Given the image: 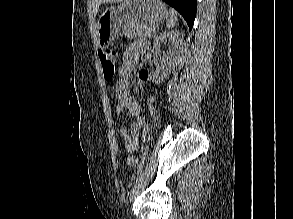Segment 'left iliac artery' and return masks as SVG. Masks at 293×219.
<instances>
[{
    "label": "left iliac artery",
    "mask_w": 293,
    "mask_h": 219,
    "mask_svg": "<svg viewBox=\"0 0 293 219\" xmlns=\"http://www.w3.org/2000/svg\"><path fill=\"white\" fill-rule=\"evenodd\" d=\"M144 164H145V157L142 158V160L138 166L137 175L142 171Z\"/></svg>",
    "instance_id": "1"
}]
</instances>
